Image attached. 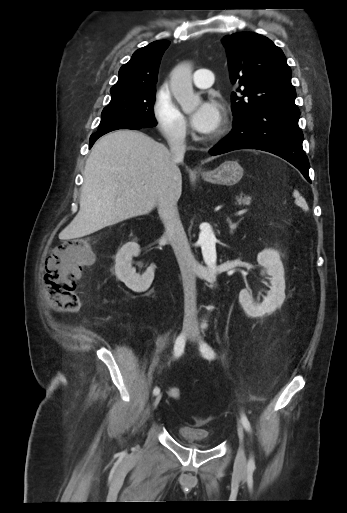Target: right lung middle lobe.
Returning <instances> with one entry per match:
<instances>
[{
  "instance_id": "obj_1",
  "label": "right lung middle lobe",
  "mask_w": 347,
  "mask_h": 513,
  "mask_svg": "<svg viewBox=\"0 0 347 513\" xmlns=\"http://www.w3.org/2000/svg\"><path fill=\"white\" fill-rule=\"evenodd\" d=\"M156 87L111 92V101L101 114L98 131L121 126L154 127L153 113Z\"/></svg>"
}]
</instances>
